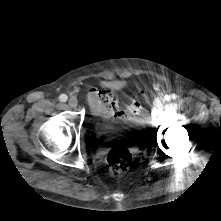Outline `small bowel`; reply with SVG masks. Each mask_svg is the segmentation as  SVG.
Instances as JSON below:
<instances>
[{
	"instance_id": "c3829d8e",
	"label": "small bowel",
	"mask_w": 221,
	"mask_h": 221,
	"mask_svg": "<svg viewBox=\"0 0 221 221\" xmlns=\"http://www.w3.org/2000/svg\"><path fill=\"white\" fill-rule=\"evenodd\" d=\"M103 98H109L111 101L105 103ZM88 101L92 113L101 119L125 120L134 115L132 106L120 109L117 100L105 87L92 88L88 92Z\"/></svg>"
}]
</instances>
